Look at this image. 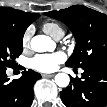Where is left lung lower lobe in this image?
Segmentation results:
<instances>
[{"label":"left lung lower lobe","mask_w":107,"mask_h":107,"mask_svg":"<svg viewBox=\"0 0 107 107\" xmlns=\"http://www.w3.org/2000/svg\"><path fill=\"white\" fill-rule=\"evenodd\" d=\"M81 78L71 79V85L60 92L66 107L107 106V63L82 67Z\"/></svg>","instance_id":"1"}]
</instances>
